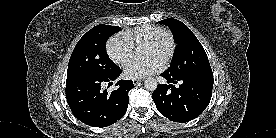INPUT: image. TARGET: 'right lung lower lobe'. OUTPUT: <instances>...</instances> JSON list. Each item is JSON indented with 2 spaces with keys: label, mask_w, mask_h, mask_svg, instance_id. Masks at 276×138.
Segmentation results:
<instances>
[{
  "label": "right lung lower lobe",
  "mask_w": 276,
  "mask_h": 138,
  "mask_svg": "<svg viewBox=\"0 0 276 138\" xmlns=\"http://www.w3.org/2000/svg\"><path fill=\"white\" fill-rule=\"evenodd\" d=\"M121 74L120 68L102 77H86L66 82V98L74 116L93 127H106L121 119L127 111L131 80H120L111 93L101 90L102 82L112 83Z\"/></svg>",
  "instance_id": "right-lung-lower-lobe-1"
}]
</instances>
